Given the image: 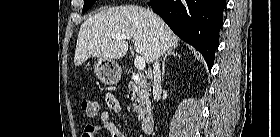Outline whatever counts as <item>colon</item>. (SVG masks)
<instances>
[{
	"label": "colon",
	"instance_id": "1",
	"mask_svg": "<svg viewBox=\"0 0 280 137\" xmlns=\"http://www.w3.org/2000/svg\"><path fill=\"white\" fill-rule=\"evenodd\" d=\"M81 108H82L83 112L89 117L96 116L99 111L98 104L95 101L88 100V99L82 100ZM83 136H84V132H83ZM88 136L91 137V135H88Z\"/></svg>",
	"mask_w": 280,
	"mask_h": 137
}]
</instances>
